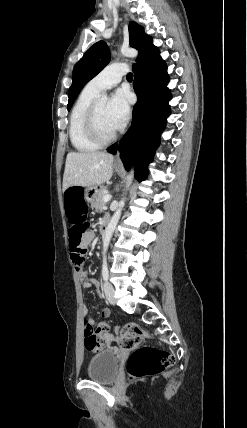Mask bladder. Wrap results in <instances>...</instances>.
Listing matches in <instances>:
<instances>
[{"mask_svg":"<svg viewBox=\"0 0 247 428\" xmlns=\"http://www.w3.org/2000/svg\"><path fill=\"white\" fill-rule=\"evenodd\" d=\"M118 368L116 352L111 349H102L91 357L87 367V376L94 382L109 384L115 380Z\"/></svg>","mask_w":247,"mask_h":428,"instance_id":"1","label":"bladder"}]
</instances>
